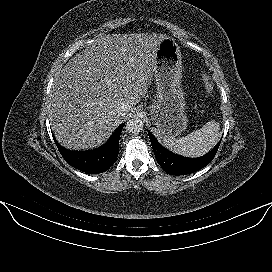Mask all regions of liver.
<instances>
[{
	"mask_svg": "<svg viewBox=\"0 0 272 272\" xmlns=\"http://www.w3.org/2000/svg\"><path fill=\"white\" fill-rule=\"evenodd\" d=\"M167 35L100 34L74 55L54 82L49 115L58 142L70 149L101 146L126 114L115 107L136 105L148 92L156 53Z\"/></svg>",
	"mask_w": 272,
	"mask_h": 272,
	"instance_id": "1",
	"label": "liver"
}]
</instances>
